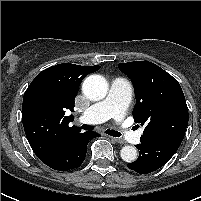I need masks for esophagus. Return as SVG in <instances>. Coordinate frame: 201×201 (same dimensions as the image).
Returning <instances> with one entry per match:
<instances>
[{
  "label": "esophagus",
  "mask_w": 201,
  "mask_h": 201,
  "mask_svg": "<svg viewBox=\"0 0 201 201\" xmlns=\"http://www.w3.org/2000/svg\"><path fill=\"white\" fill-rule=\"evenodd\" d=\"M112 139V141L116 142V143H120L123 144L124 140L121 138H116V137H110Z\"/></svg>",
  "instance_id": "1"
}]
</instances>
